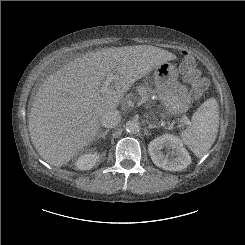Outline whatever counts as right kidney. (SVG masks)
Wrapping results in <instances>:
<instances>
[{"label": "right kidney", "instance_id": "ca27d5eb", "mask_svg": "<svg viewBox=\"0 0 245 245\" xmlns=\"http://www.w3.org/2000/svg\"><path fill=\"white\" fill-rule=\"evenodd\" d=\"M99 159V154L91 152L81 155L75 162V167L78 170H89L91 169Z\"/></svg>", "mask_w": 245, "mask_h": 245}]
</instances>
